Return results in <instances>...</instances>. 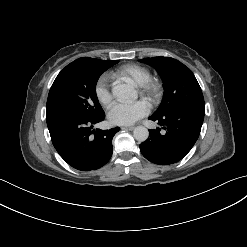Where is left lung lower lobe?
<instances>
[{
    "mask_svg": "<svg viewBox=\"0 0 247 247\" xmlns=\"http://www.w3.org/2000/svg\"><path fill=\"white\" fill-rule=\"evenodd\" d=\"M160 128L149 130V138L140 144L143 156L152 163L169 165L181 160L197 141L204 120V110L184 108L164 116H150Z\"/></svg>",
    "mask_w": 247,
    "mask_h": 247,
    "instance_id": "left-lung-lower-lobe-1",
    "label": "left lung lower lobe"
}]
</instances>
